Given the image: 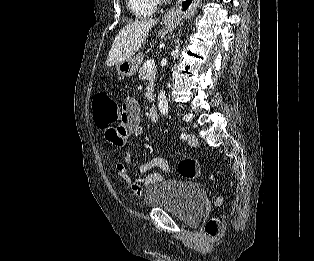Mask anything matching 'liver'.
I'll list each match as a JSON object with an SVG mask.
<instances>
[{
  "label": "liver",
  "instance_id": "6515ba94",
  "mask_svg": "<svg viewBox=\"0 0 314 261\" xmlns=\"http://www.w3.org/2000/svg\"><path fill=\"white\" fill-rule=\"evenodd\" d=\"M156 24L155 19H145L131 22L121 29L112 44L107 65H118L135 55L145 43L149 30Z\"/></svg>",
  "mask_w": 314,
  "mask_h": 261
}]
</instances>
